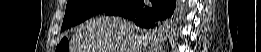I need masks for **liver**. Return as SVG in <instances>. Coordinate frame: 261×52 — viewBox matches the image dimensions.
<instances>
[{
    "mask_svg": "<svg viewBox=\"0 0 261 52\" xmlns=\"http://www.w3.org/2000/svg\"><path fill=\"white\" fill-rule=\"evenodd\" d=\"M71 43L73 52H154L161 40L120 17H98L80 25Z\"/></svg>",
    "mask_w": 261,
    "mask_h": 52,
    "instance_id": "1",
    "label": "liver"
}]
</instances>
